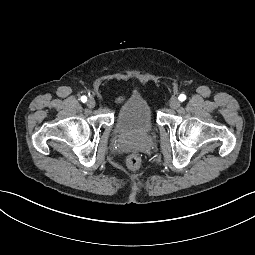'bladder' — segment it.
Returning a JSON list of instances; mask_svg holds the SVG:
<instances>
[{
  "instance_id": "31cf9c89",
  "label": "bladder",
  "mask_w": 255,
  "mask_h": 255,
  "mask_svg": "<svg viewBox=\"0 0 255 255\" xmlns=\"http://www.w3.org/2000/svg\"><path fill=\"white\" fill-rule=\"evenodd\" d=\"M153 130L150 106L140 94H133L120 107L114 132L117 135H146Z\"/></svg>"
}]
</instances>
